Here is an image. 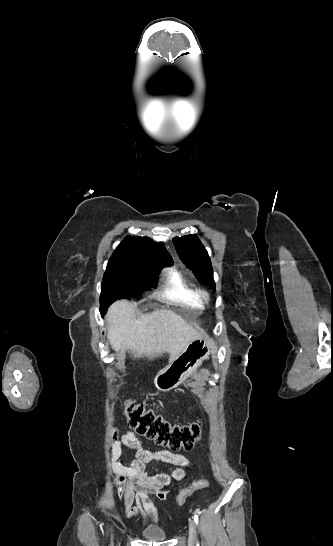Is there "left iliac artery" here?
Returning a JSON list of instances; mask_svg holds the SVG:
<instances>
[{
    "instance_id": "1",
    "label": "left iliac artery",
    "mask_w": 333,
    "mask_h": 546,
    "mask_svg": "<svg viewBox=\"0 0 333 546\" xmlns=\"http://www.w3.org/2000/svg\"><path fill=\"white\" fill-rule=\"evenodd\" d=\"M193 518H194V521H195V523H196V524H198V521H199V518H198V516H197V515H194V517H193ZM198 546H199V545H198Z\"/></svg>"
}]
</instances>
